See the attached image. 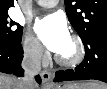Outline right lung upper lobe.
Masks as SVG:
<instances>
[{
  "label": "right lung upper lobe",
  "instance_id": "right-lung-upper-lobe-1",
  "mask_svg": "<svg viewBox=\"0 0 107 89\" xmlns=\"http://www.w3.org/2000/svg\"><path fill=\"white\" fill-rule=\"evenodd\" d=\"M14 0H0V15L1 14H8V9L11 6H14Z\"/></svg>",
  "mask_w": 107,
  "mask_h": 89
}]
</instances>
